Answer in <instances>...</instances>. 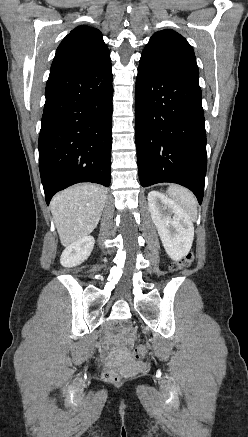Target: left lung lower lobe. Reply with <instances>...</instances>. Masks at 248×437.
Instances as JSON below:
<instances>
[{
	"label": "left lung lower lobe",
	"mask_w": 248,
	"mask_h": 437,
	"mask_svg": "<svg viewBox=\"0 0 248 437\" xmlns=\"http://www.w3.org/2000/svg\"><path fill=\"white\" fill-rule=\"evenodd\" d=\"M135 132L141 185L177 183L201 204L207 157L199 84L138 67Z\"/></svg>",
	"instance_id": "1"
}]
</instances>
